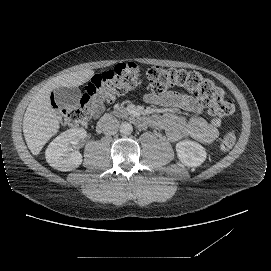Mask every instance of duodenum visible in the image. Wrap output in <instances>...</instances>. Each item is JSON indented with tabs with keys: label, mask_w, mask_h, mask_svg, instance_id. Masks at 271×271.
<instances>
[{
	"label": "duodenum",
	"mask_w": 271,
	"mask_h": 271,
	"mask_svg": "<svg viewBox=\"0 0 271 271\" xmlns=\"http://www.w3.org/2000/svg\"><path fill=\"white\" fill-rule=\"evenodd\" d=\"M136 123L139 126H145L147 124V121L143 118H138L136 119ZM116 128L117 122L110 115L103 116L97 124V131L103 134H112L116 130Z\"/></svg>",
	"instance_id": "duodenum-1"
}]
</instances>
